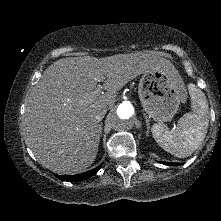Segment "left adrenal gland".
<instances>
[{
  "label": "left adrenal gland",
  "mask_w": 221,
  "mask_h": 221,
  "mask_svg": "<svg viewBox=\"0 0 221 221\" xmlns=\"http://www.w3.org/2000/svg\"><path fill=\"white\" fill-rule=\"evenodd\" d=\"M144 117H145V122H146V127H147L146 134L148 135L149 134V130H150V123H149V119H148L146 114H144Z\"/></svg>",
  "instance_id": "a2214340"
}]
</instances>
